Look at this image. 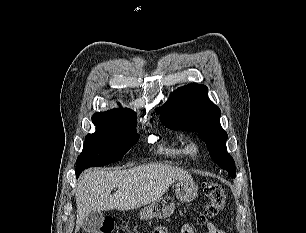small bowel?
<instances>
[{
	"mask_svg": "<svg viewBox=\"0 0 306 233\" xmlns=\"http://www.w3.org/2000/svg\"><path fill=\"white\" fill-rule=\"evenodd\" d=\"M206 227H207V231L205 233H225V231H223L222 229L218 228L213 223H207ZM156 232H158V233H168L166 231V229H164V228H159V229L156 230ZM181 233H194V232H193L192 226L189 223H186L182 227Z\"/></svg>",
	"mask_w": 306,
	"mask_h": 233,
	"instance_id": "c3829d8e",
	"label": "small bowel"
}]
</instances>
